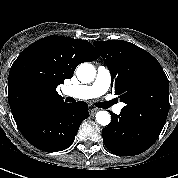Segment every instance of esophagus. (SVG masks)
I'll use <instances>...</instances> for the list:
<instances>
[{
	"mask_svg": "<svg viewBox=\"0 0 178 178\" xmlns=\"http://www.w3.org/2000/svg\"><path fill=\"white\" fill-rule=\"evenodd\" d=\"M98 111V108H91L90 115L93 116Z\"/></svg>",
	"mask_w": 178,
	"mask_h": 178,
	"instance_id": "obj_1",
	"label": "esophagus"
}]
</instances>
